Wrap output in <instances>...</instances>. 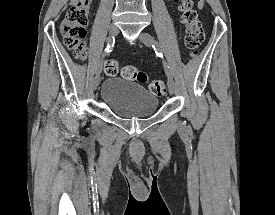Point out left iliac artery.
I'll list each match as a JSON object with an SVG mask.
<instances>
[{
	"mask_svg": "<svg viewBox=\"0 0 275 215\" xmlns=\"http://www.w3.org/2000/svg\"><path fill=\"white\" fill-rule=\"evenodd\" d=\"M153 49L155 50V53L159 57H163L162 50L158 42L154 41L152 45ZM164 70L166 72V75L170 78L172 76L169 66L166 64L165 61H163Z\"/></svg>",
	"mask_w": 275,
	"mask_h": 215,
	"instance_id": "obj_1",
	"label": "left iliac artery"
}]
</instances>
